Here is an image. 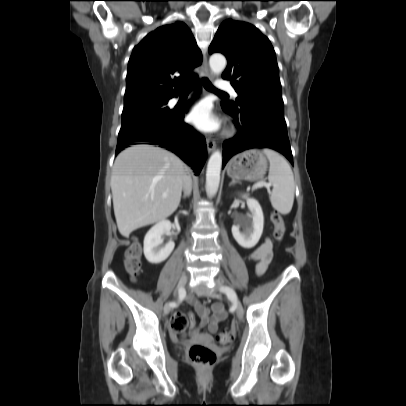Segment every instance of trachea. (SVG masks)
Masks as SVG:
<instances>
[{
    "label": "trachea",
    "mask_w": 406,
    "mask_h": 406,
    "mask_svg": "<svg viewBox=\"0 0 406 406\" xmlns=\"http://www.w3.org/2000/svg\"><path fill=\"white\" fill-rule=\"evenodd\" d=\"M202 83H203V86L205 87V89H207L209 91L219 93V94H226L225 92H222V91L216 89L207 78H203ZM193 88H194L193 83H187L182 86V92H190Z\"/></svg>",
    "instance_id": "trachea-1"
}]
</instances>
